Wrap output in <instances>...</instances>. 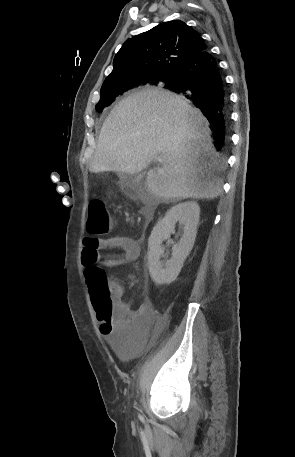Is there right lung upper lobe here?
I'll return each instance as SVG.
<instances>
[{
  "instance_id": "obj_1",
  "label": "right lung upper lobe",
  "mask_w": 295,
  "mask_h": 457,
  "mask_svg": "<svg viewBox=\"0 0 295 457\" xmlns=\"http://www.w3.org/2000/svg\"><path fill=\"white\" fill-rule=\"evenodd\" d=\"M207 48L200 35L183 21L160 23L124 42L113 60V71L101 91L174 77L180 67Z\"/></svg>"
}]
</instances>
